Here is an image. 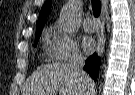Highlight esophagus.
<instances>
[{"label":"esophagus","mask_w":135,"mask_h":95,"mask_svg":"<svg viewBox=\"0 0 135 95\" xmlns=\"http://www.w3.org/2000/svg\"><path fill=\"white\" fill-rule=\"evenodd\" d=\"M107 8V0H102V15H101V20H102V24L104 25V21H105V10ZM104 44H105V38L104 36H102L99 40V44H98V55H100L103 52L104 49Z\"/></svg>","instance_id":"1"}]
</instances>
